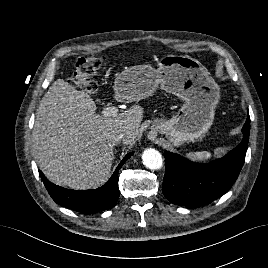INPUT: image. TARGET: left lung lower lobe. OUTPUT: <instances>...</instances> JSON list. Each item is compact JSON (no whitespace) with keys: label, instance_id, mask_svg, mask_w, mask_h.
Returning <instances> with one entry per match:
<instances>
[{"label":"left lung lower lobe","instance_id":"1","mask_svg":"<svg viewBox=\"0 0 268 268\" xmlns=\"http://www.w3.org/2000/svg\"><path fill=\"white\" fill-rule=\"evenodd\" d=\"M241 143L221 159L199 164L165 152L163 194L173 204L201 206L226 193L237 179L245 161L250 132L248 116Z\"/></svg>","mask_w":268,"mask_h":268}]
</instances>
